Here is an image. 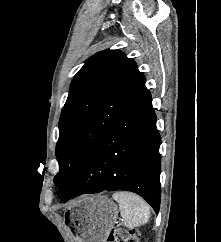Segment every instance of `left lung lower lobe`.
I'll return each instance as SVG.
<instances>
[{
    "label": "left lung lower lobe",
    "instance_id": "left-lung-lower-lobe-1",
    "mask_svg": "<svg viewBox=\"0 0 221 242\" xmlns=\"http://www.w3.org/2000/svg\"><path fill=\"white\" fill-rule=\"evenodd\" d=\"M160 142L147 91L98 139L79 177L62 193L61 202L82 194L126 190L142 196L158 213Z\"/></svg>",
    "mask_w": 221,
    "mask_h": 242
}]
</instances>
